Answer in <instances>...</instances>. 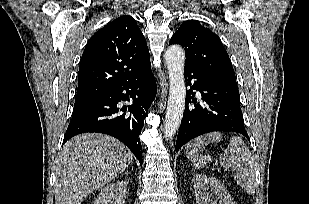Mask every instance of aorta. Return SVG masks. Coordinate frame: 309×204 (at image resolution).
<instances>
[{
    "mask_svg": "<svg viewBox=\"0 0 309 204\" xmlns=\"http://www.w3.org/2000/svg\"><path fill=\"white\" fill-rule=\"evenodd\" d=\"M165 60L169 71V97L164 133L166 138H171L180 126L185 109L184 49L179 45L170 46L165 52Z\"/></svg>",
    "mask_w": 309,
    "mask_h": 204,
    "instance_id": "762f6f07",
    "label": "aorta"
}]
</instances>
